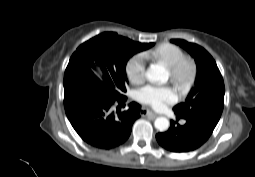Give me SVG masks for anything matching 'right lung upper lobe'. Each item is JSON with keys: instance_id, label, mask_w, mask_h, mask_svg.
<instances>
[{"instance_id": "cb5924a9", "label": "right lung upper lobe", "mask_w": 255, "mask_h": 177, "mask_svg": "<svg viewBox=\"0 0 255 177\" xmlns=\"http://www.w3.org/2000/svg\"><path fill=\"white\" fill-rule=\"evenodd\" d=\"M102 36L107 37L108 39H111V40H120L123 38L119 36L117 33H113V32H105L102 34Z\"/></svg>"}]
</instances>
